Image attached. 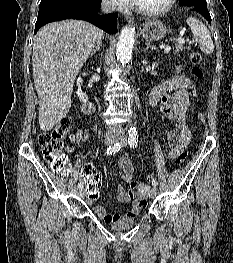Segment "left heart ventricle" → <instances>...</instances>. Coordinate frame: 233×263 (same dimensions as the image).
Masks as SVG:
<instances>
[{"label":"left heart ventricle","instance_id":"left-heart-ventricle-1","mask_svg":"<svg viewBox=\"0 0 233 263\" xmlns=\"http://www.w3.org/2000/svg\"><path fill=\"white\" fill-rule=\"evenodd\" d=\"M135 2L143 9L158 10L164 7L168 0H135Z\"/></svg>","mask_w":233,"mask_h":263}]
</instances>
